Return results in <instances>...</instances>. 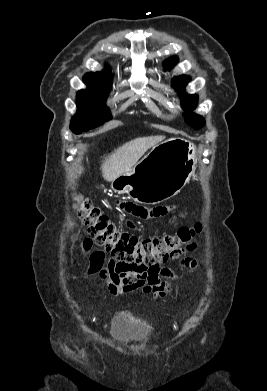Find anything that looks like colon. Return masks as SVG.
Instances as JSON below:
<instances>
[{"label": "colon", "instance_id": "obj_1", "mask_svg": "<svg viewBox=\"0 0 267 391\" xmlns=\"http://www.w3.org/2000/svg\"><path fill=\"white\" fill-rule=\"evenodd\" d=\"M74 207L90 235L83 241L86 251L96 244L119 263L139 266L147 271L159 269L168 260L177 259L185 250L193 249L192 240L201 230V224L196 223L181 227L173 235L139 239L118 230L106 214L81 196L74 197Z\"/></svg>", "mask_w": 267, "mask_h": 391}]
</instances>
